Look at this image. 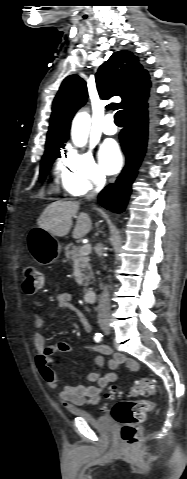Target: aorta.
I'll return each mask as SVG.
<instances>
[{
  "label": "aorta",
  "instance_id": "aorta-1",
  "mask_svg": "<svg viewBox=\"0 0 187 479\" xmlns=\"http://www.w3.org/2000/svg\"><path fill=\"white\" fill-rule=\"evenodd\" d=\"M91 120L90 116L86 112H79L75 116L72 128L71 136L74 145L77 147H83L87 143L89 130H90Z\"/></svg>",
  "mask_w": 187,
  "mask_h": 479
}]
</instances>
